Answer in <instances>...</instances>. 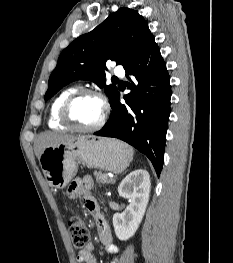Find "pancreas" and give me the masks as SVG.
<instances>
[{"mask_svg": "<svg viewBox=\"0 0 233 263\" xmlns=\"http://www.w3.org/2000/svg\"><path fill=\"white\" fill-rule=\"evenodd\" d=\"M94 176L96 178V182L101 184L111 183L113 180L108 179V175L106 173H103L101 171H95Z\"/></svg>", "mask_w": 233, "mask_h": 263, "instance_id": "cf45deb5", "label": "pancreas"}]
</instances>
